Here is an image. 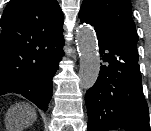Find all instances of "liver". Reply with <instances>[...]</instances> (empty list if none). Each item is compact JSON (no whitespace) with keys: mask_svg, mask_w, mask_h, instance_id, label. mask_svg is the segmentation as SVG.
I'll use <instances>...</instances> for the list:
<instances>
[{"mask_svg":"<svg viewBox=\"0 0 151 131\" xmlns=\"http://www.w3.org/2000/svg\"><path fill=\"white\" fill-rule=\"evenodd\" d=\"M36 112H35V110H33V109H31V113H30V116H29V118H28V124L30 123V122H33V121H35L36 120Z\"/></svg>","mask_w":151,"mask_h":131,"instance_id":"6515ba94","label":"liver"}]
</instances>
